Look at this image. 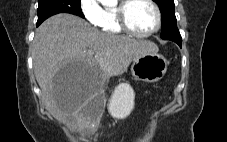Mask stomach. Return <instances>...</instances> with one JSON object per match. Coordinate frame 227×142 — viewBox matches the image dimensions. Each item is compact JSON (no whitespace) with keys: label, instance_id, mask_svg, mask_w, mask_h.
<instances>
[{"label":"stomach","instance_id":"0dacf381","mask_svg":"<svg viewBox=\"0 0 227 142\" xmlns=\"http://www.w3.org/2000/svg\"><path fill=\"white\" fill-rule=\"evenodd\" d=\"M167 64V60L162 55L149 52L133 60L131 73L136 80L153 83L164 76ZM134 98L135 93L130 84H119L109 100L110 113L117 119L126 118L134 107Z\"/></svg>","mask_w":227,"mask_h":142}]
</instances>
